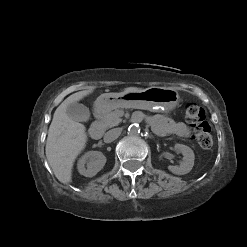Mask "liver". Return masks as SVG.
Returning a JSON list of instances; mask_svg holds the SVG:
<instances>
[{"instance_id":"obj_1","label":"liver","mask_w":247,"mask_h":247,"mask_svg":"<svg viewBox=\"0 0 247 247\" xmlns=\"http://www.w3.org/2000/svg\"><path fill=\"white\" fill-rule=\"evenodd\" d=\"M144 89L125 88L124 94ZM93 90L79 91L66 98L56 109L48 130L46 141V157L56 178L64 184L72 180V168L77 156L84 150L87 142L86 128L83 124L72 120L66 113L67 106L83 99Z\"/></svg>"}]
</instances>
